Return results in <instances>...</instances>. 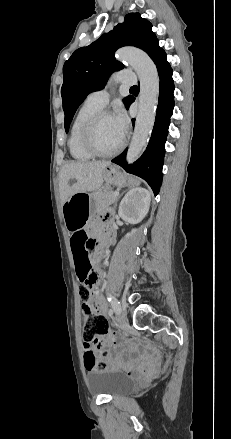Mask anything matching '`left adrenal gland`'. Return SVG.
Here are the masks:
<instances>
[{
	"label": "left adrenal gland",
	"mask_w": 231,
	"mask_h": 439,
	"mask_svg": "<svg viewBox=\"0 0 231 439\" xmlns=\"http://www.w3.org/2000/svg\"><path fill=\"white\" fill-rule=\"evenodd\" d=\"M122 194H123V193H122ZM122 194L117 198V200L122 196ZM117 200H116V201H117ZM114 207H116V203H115Z\"/></svg>",
	"instance_id": "left-adrenal-gland-1"
}]
</instances>
